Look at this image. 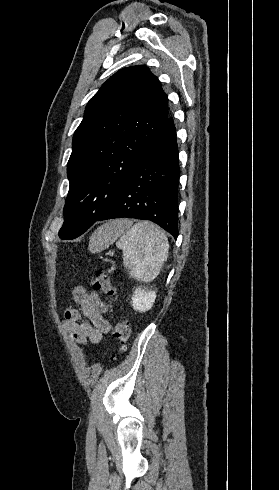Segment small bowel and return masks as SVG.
Returning <instances> with one entry per match:
<instances>
[{
	"label": "small bowel",
	"instance_id": "1",
	"mask_svg": "<svg viewBox=\"0 0 279 490\" xmlns=\"http://www.w3.org/2000/svg\"><path fill=\"white\" fill-rule=\"evenodd\" d=\"M72 295L79 308L71 305L66 308L64 330L81 345H86L88 341L99 343L102 336L111 330L110 323L103 317L108 310L107 304L97 293H89L80 286L73 288ZM82 317L88 318L90 322L82 321Z\"/></svg>",
	"mask_w": 279,
	"mask_h": 490
}]
</instances>
